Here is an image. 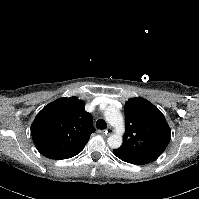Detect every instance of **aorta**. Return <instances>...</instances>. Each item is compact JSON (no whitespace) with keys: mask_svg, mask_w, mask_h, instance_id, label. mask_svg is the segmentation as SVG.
<instances>
[{"mask_svg":"<svg viewBox=\"0 0 199 199\" xmlns=\"http://www.w3.org/2000/svg\"><path fill=\"white\" fill-rule=\"evenodd\" d=\"M106 121L115 128L116 133L108 137L107 143L117 149L122 145V135L124 133V119L121 112L115 108L109 107L104 113Z\"/></svg>","mask_w":199,"mask_h":199,"instance_id":"762f6f07","label":"aorta"}]
</instances>
